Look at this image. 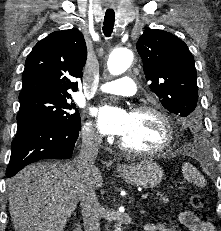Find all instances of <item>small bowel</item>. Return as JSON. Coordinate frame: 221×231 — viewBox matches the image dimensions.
<instances>
[{"label":"small bowel","instance_id":"small-bowel-1","mask_svg":"<svg viewBox=\"0 0 221 231\" xmlns=\"http://www.w3.org/2000/svg\"><path fill=\"white\" fill-rule=\"evenodd\" d=\"M180 222L190 231H214L213 225L199 218L197 215L190 211H182L179 214ZM145 231H177V229L168 224L147 223L144 225Z\"/></svg>","mask_w":221,"mask_h":231}]
</instances>
